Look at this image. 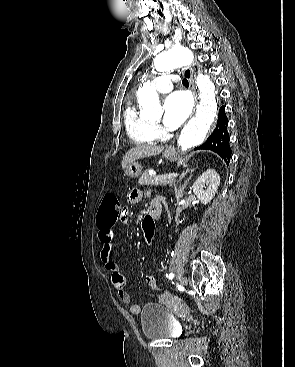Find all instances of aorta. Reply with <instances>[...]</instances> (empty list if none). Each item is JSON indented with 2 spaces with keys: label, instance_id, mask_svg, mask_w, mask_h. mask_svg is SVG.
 Returning a JSON list of instances; mask_svg holds the SVG:
<instances>
[{
  "label": "aorta",
  "instance_id": "obj_1",
  "mask_svg": "<svg viewBox=\"0 0 295 367\" xmlns=\"http://www.w3.org/2000/svg\"><path fill=\"white\" fill-rule=\"evenodd\" d=\"M193 60L192 52L184 47L172 48L155 57L154 67L158 72H168L186 66ZM200 103L196 114L183 127L178 145L185 151L204 142L217 115L216 89L210 78L200 74L196 79ZM140 115L144 118L160 116L162 108L155 89L144 86L138 91Z\"/></svg>",
  "mask_w": 295,
  "mask_h": 367
}]
</instances>
